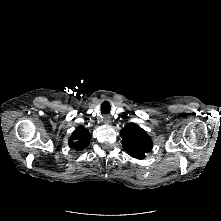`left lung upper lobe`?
Segmentation results:
<instances>
[{
    "mask_svg": "<svg viewBox=\"0 0 221 221\" xmlns=\"http://www.w3.org/2000/svg\"><path fill=\"white\" fill-rule=\"evenodd\" d=\"M122 145L132 157L143 159L152 149V140L149 135L134 123L126 125L120 132Z\"/></svg>",
    "mask_w": 221,
    "mask_h": 221,
    "instance_id": "1",
    "label": "left lung upper lobe"
}]
</instances>
